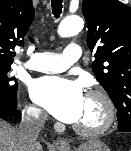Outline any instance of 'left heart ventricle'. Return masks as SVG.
<instances>
[{
  "mask_svg": "<svg viewBox=\"0 0 131 151\" xmlns=\"http://www.w3.org/2000/svg\"><path fill=\"white\" fill-rule=\"evenodd\" d=\"M103 106L100 101L85 97L84 105L80 118L75 124L83 126H95L103 120Z\"/></svg>",
  "mask_w": 131,
  "mask_h": 151,
  "instance_id": "obj_1",
  "label": "left heart ventricle"
}]
</instances>
